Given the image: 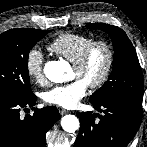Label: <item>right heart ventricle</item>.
Returning <instances> with one entry per match:
<instances>
[{"label": "right heart ventricle", "instance_id": "1", "mask_svg": "<svg viewBox=\"0 0 147 147\" xmlns=\"http://www.w3.org/2000/svg\"><path fill=\"white\" fill-rule=\"evenodd\" d=\"M93 38L83 34L65 33L56 37L48 49L57 56L74 63Z\"/></svg>", "mask_w": 147, "mask_h": 147}]
</instances>
